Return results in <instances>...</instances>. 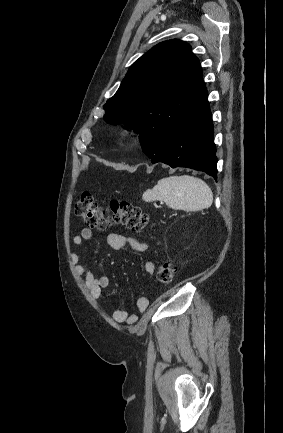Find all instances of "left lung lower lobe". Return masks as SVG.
Segmentation results:
<instances>
[{"label":"left lung lower lobe","mask_w":283,"mask_h":433,"mask_svg":"<svg viewBox=\"0 0 283 433\" xmlns=\"http://www.w3.org/2000/svg\"><path fill=\"white\" fill-rule=\"evenodd\" d=\"M203 107L195 115L174 124L153 127L142 144L152 163L200 170L217 180V157L208 93L202 87Z\"/></svg>","instance_id":"obj_1"}]
</instances>
